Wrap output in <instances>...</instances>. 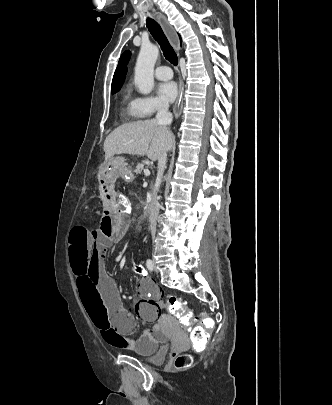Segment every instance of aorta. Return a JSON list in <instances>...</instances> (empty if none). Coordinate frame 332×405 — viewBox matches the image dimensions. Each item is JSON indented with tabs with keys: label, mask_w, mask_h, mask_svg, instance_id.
<instances>
[{
	"label": "aorta",
	"mask_w": 332,
	"mask_h": 405,
	"mask_svg": "<svg viewBox=\"0 0 332 405\" xmlns=\"http://www.w3.org/2000/svg\"><path fill=\"white\" fill-rule=\"evenodd\" d=\"M159 55V49L153 44L141 46L134 74V82L143 94H149L154 86V66Z\"/></svg>",
	"instance_id": "aorta-1"
}]
</instances>
